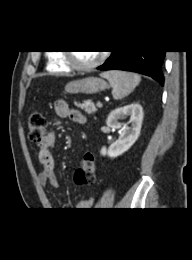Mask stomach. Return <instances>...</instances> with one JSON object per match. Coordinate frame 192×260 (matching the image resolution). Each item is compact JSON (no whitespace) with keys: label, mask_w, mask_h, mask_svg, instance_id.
<instances>
[{"label":"stomach","mask_w":192,"mask_h":260,"mask_svg":"<svg viewBox=\"0 0 192 260\" xmlns=\"http://www.w3.org/2000/svg\"><path fill=\"white\" fill-rule=\"evenodd\" d=\"M107 88V83L97 77H86L83 79L70 81L65 86V91L70 94H96Z\"/></svg>","instance_id":"stomach-1"}]
</instances>
